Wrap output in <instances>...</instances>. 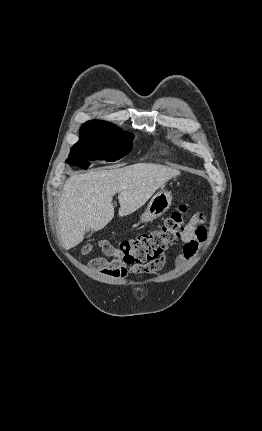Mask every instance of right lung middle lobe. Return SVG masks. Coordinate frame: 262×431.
Here are the masks:
<instances>
[{"label":"right lung middle lobe","mask_w":262,"mask_h":431,"mask_svg":"<svg viewBox=\"0 0 262 431\" xmlns=\"http://www.w3.org/2000/svg\"><path fill=\"white\" fill-rule=\"evenodd\" d=\"M132 143V135L113 124L82 126L66 163L87 169L90 163L85 158L114 162L129 153Z\"/></svg>","instance_id":"dd1d6c3e"}]
</instances>
